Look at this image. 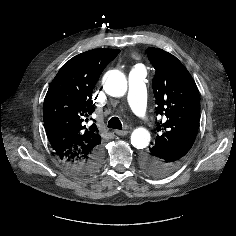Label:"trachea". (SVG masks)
I'll return each instance as SVG.
<instances>
[{"label":"trachea","mask_w":236,"mask_h":236,"mask_svg":"<svg viewBox=\"0 0 236 236\" xmlns=\"http://www.w3.org/2000/svg\"><path fill=\"white\" fill-rule=\"evenodd\" d=\"M108 128L122 130L123 126L118 117H112L108 122Z\"/></svg>","instance_id":"1"}]
</instances>
